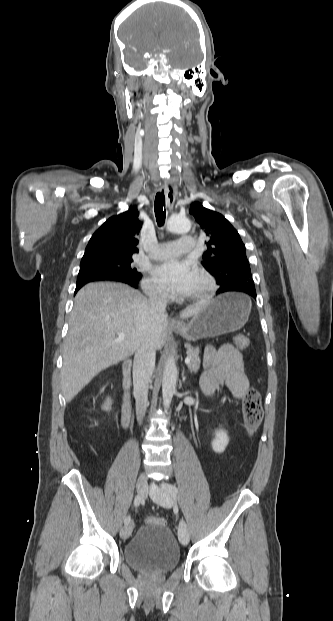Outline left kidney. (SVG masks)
Returning <instances> with one entry per match:
<instances>
[{
	"label": "left kidney",
	"mask_w": 333,
	"mask_h": 621,
	"mask_svg": "<svg viewBox=\"0 0 333 621\" xmlns=\"http://www.w3.org/2000/svg\"><path fill=\"white\" fill-rule=\"evenodd\" d=\"M229 438L225 431L217 430L215 432V438L212 441V449L216 453L224 452L226 446L228 445Z\"/></svg>",
	"instance_id": "1"
}]
</instances>
